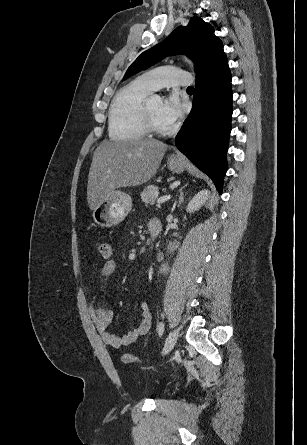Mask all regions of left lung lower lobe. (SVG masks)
<instances>
[{"label": "left lung lower lobe", "instance_id": "1", "mask_svg": "<svg viewBox=\"0 0 307 445\" xmlns=\"http://www.w3.org/2000/svg\"><path fill=\"white\" fill-rule=\"evenodd\" d=\"M231 79L226 56L196 76L193 108L175 139L177 148L213 180L220 194L231 130Z\"/></svg>", "mask_w": 307, "mask_h": 445}]
</instances>
